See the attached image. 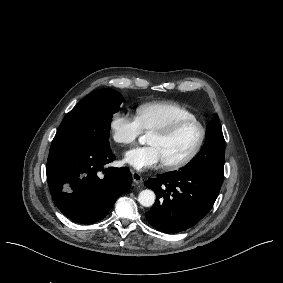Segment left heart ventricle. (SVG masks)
Segmentation results:
<instances>
[{"instance_id": "b2bd125f", "label": "left heart ventricle", "mask_w": 283, "mask_h": 283, "mask_svg": "<svg viewBox=\"0 0 283 283\" xmlns=\"http://www.w3.org/2000/svg\"><path fill=\"white\" fill-rule=\"evenodd\" d=\"M199 136L196 124L183 125L173 137L163 139L152 134L149 144L160 148L165 163H176L184 159L194 148Z\"/></svg>"}]
</instances>
